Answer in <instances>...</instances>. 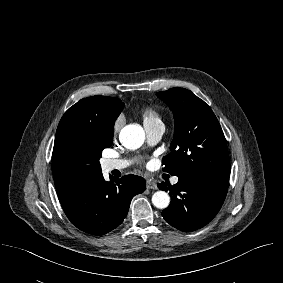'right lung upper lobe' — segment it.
Listing matches in <instances>:
<instances>
[{
	"label": "right lung upper lobe",
	"mask_w": 283,
	"mask_h": 283,
	"mask_svg": "<svg viewBox=\"0 0 283 283\" xmlns=\"http://www.w3.org/2000/svg\"><path fill=\"white\" fill-rule=\"evenodd\" d=\"M124 103L113 97L92 96L81 99L70 107L61 118L55 136L52 165L53 177L59 200L64 199L92 174L73 172L68 165L67 146L71 129L75 125L92 128L104 135H113L114 121Z\"/></svg>",
	"instance_id": "1"
}]
</instances>
